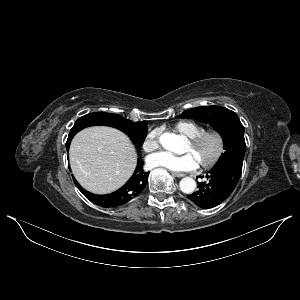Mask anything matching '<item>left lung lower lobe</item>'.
Returning a JSON list of instances; mask_svg holds the SVG:
<instances>
[{
  "label": "left lung lower lobe",
  "instance_id": "left-lung-lower-lobe-1",
  "mask_svg": "<svg viewBox=\"0 0 300 300\" xmlns=\"http://www.w3.org/2000/svg\"><path fill=\"white\" fill-rule=\"evenodd\" d=\"M243 161L226 159L219 161L206 175L207 183H199V190L188 198L201 208H213L221 204L234 190L242 173Z\"/></svg>",
  "mask_w": 300,
  "mask_h": 300
}]
</instances>
